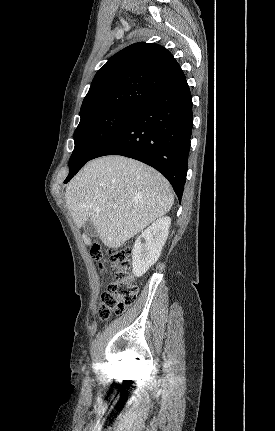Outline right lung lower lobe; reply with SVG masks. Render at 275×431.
<instances>
[{
    "label": "right lung lower lobe",
    "instance_id": "obj_1",
    "mask_svg": "<svg viewBox=\"0 0 275 431\" xmlns=\"http://www.w3.org/2000/svg\"><path fill=\"white\" fill-rule=\"evenodd\" d=\"M192 127V97L185 79L138 108L91 159L122 155L146 163L169 180L180 200L187 175Z\"/></svg>",
    "mask_w": 275,
    "mask_h": 431
}]
</instances>
